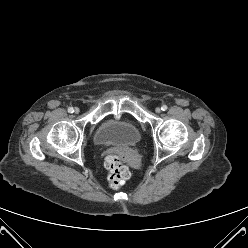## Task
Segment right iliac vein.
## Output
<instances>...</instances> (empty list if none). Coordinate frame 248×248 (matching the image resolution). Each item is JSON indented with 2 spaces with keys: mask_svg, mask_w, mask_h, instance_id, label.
Listing matches in <instances>:
<instances>
[{
  "mask_svg": "<svg viewBox=\"0 0 248 248\" xmlns=\"http://www.w3.org/2000/svg\"><path fill=\"white\" fill-rule=\"evenodd\" d=\"M74 112L76 113V114H78L79 112H80V110H79V108H75V110H74Z\"/></svg>",
  "mask_w": 248,
  "mask_h": 248,
  "instance_id": "1",
  "label": "right iliac vein"
}]
</instances>
